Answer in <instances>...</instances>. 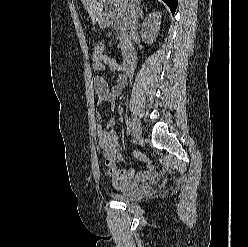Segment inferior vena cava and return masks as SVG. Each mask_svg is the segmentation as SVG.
Returning <instances> with one entry per match:
<instances>
[{
    "instance_id": "obj_1",
    "label": "inferior vena cava",
    "mask_w": 248,
    "mask_h": 247,
    "mask_svg": "<svg viewBox=\"0 0 248 247\" xmlns=\"http://www.w3.org/2000/svg\"><path fill=\"white\" fill-rule=\"evenodd\" d=\"M126 8H125V16H126V22L130 28V31L132 34L136 33V11H135V3L133 0H125Z\"/></svg>"
}]
</instances>
